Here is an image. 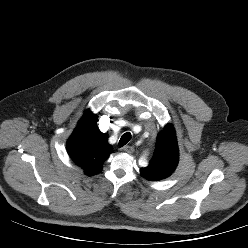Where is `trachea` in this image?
Returning a JSON list of instances; mask_svg holds the SVG:
<instances>
[{"mask_svg": "<svg viewBox=\"0 0 248 248\" xmlns=\"http://www.w3.org/2000/svg\"><path fill=\"white\" fill-rule=\"evenodd\" d=\"M131 139V133L130 132H126L122 135L120 141H119V147H123L124 145H126Z\"/></svg>", "mask_w": 248, "mask_h": 248, "instance_id": "obj_1", "label": "trachea"}]
</instances>
